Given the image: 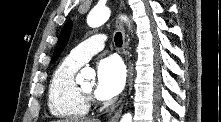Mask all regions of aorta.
<instances>
[{"instance_id":"aorta-1","label":"aorta","mask_w":221,"mask_h":122,"mask_svg":"<svg viewBox=\"0 0 221 122\" xmlns=\"http://www.w3.org/2000/svg\"><path fill=\"white\" fill-rule=\"evenodd\" d=\"M110 17V9L105 6H96L92 9L87 17V23L90 27L96 28L104 24ZM126 21V17H123ZM82 75L90 74L94 75V73L90 69H84L81 71ZM120 122H132V115L130 113H126L121 118Z\"/></svg>"}]
</instances>
